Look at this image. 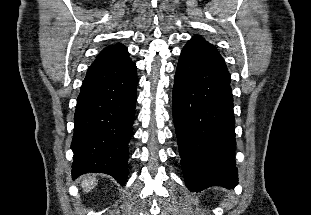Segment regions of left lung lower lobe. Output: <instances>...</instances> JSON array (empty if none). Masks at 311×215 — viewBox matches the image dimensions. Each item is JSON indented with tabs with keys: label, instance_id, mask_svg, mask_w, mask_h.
Here are the masks:
<instances>
[{
	"label": "left lung lower lobe",
	"instance_id": "0a47b994",
	"mask_svg": "<svg viewBox=\"0 0 311 215\" xmlns=\"http://www.w3.org/2000/svg\"><path fill=\"white\" fill-rule=\"evenodd\" d=\"M186 186L234 188L235 119L230 73L216 47L194 36L183 48L172 96Z\"/></svg>",
	"mask_w": 311,
	"mask_h": 215
}]
</instances>
